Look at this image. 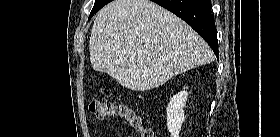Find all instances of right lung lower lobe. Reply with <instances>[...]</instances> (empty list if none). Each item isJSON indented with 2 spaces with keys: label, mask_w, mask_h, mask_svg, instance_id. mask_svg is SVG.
Here are the masks:
<instances>
[{
  "label": "right lung lower lobe",
  "mask_w": 280,
  "mask_h": 137,
  "mask_svg": "<svg viewBox=\"0 0 280 137\" xmlns=\"http://www.w3.org/2000/svg\"><path fill=\"white\" fill-rule=\"evenodd\" d=\"M187 22L218 54V40L210 0H152Z\"/></svg>",
  "instance_id": "1"
}]
</instances>
